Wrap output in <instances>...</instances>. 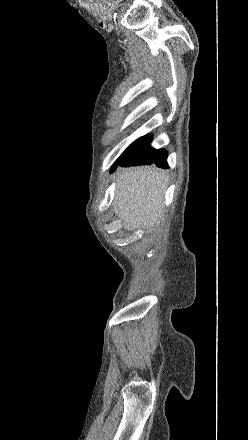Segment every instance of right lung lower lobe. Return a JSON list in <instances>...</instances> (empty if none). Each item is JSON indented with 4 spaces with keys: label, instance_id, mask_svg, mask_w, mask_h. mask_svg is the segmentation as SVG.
Returning <instances> with one entry per match:
<instances>
[{
    "label": "right lung lower lobe",
    "instance_id": "98d812e1",
    "mask_svg": "<svg viewBox=\"0 0 248 440\" xmlns=\"http://www.w3.org/2000/svg\"><path fill=\"white\" fill-rule=\"evenodd\" d=\"M152 137L146 135L133 142L124 152L121 167L155 164L163 169L169 168L167 152L150 147Z\"/></svg>",
    "mask_w": 248,
    "mask_h": 440
}]
</instances>
